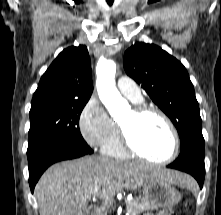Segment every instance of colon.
Instances as JSON below:
<instances>
[{
	"mask_svg": "<svg viewBox=\"0 0 221 215\" xmlns=\"http://www.w3.org/2000/svg\"><path fill=\"white\" fill-rule=\"evenodd\" d=\"M158 215H178L174 210L160 211Z\"/></svg>",
	"mask_w": 221,
	"mask_h": 215,
	"instance_id": "colon-1",
	"label": "colon"
}]
</instances>
